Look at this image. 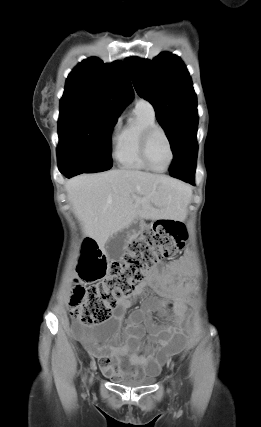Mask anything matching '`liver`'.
Here are the masks:
<instances>
[{"label": "liver", "mask_w": 261, "mask_h": 427, "mask_svg": "<svg viewBox=\"0 0 261 427\" xmlns=\"http://www.w3.org/2000/svg\"><path fill=\"white\" fill-rule=\"evenodd\" d=\"M65 188L84 234L103 252L110 237L137 219L184 220L192 195L174 178L125 169L82 174Z\"/></svg>", "instance_id": "liver-1"}]
</instances>
